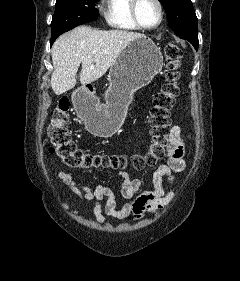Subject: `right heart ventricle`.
I'll return each mask as SVG.
<instances>
[{
    "label": "right heart ventricle",
    "mask_w": 240,
    "mask_h": 281,
    "mask_svg": "<svg viewBox=\"0 0 240 281\" xmlns=\"http://www.w3.org/2000/svg\"><path fill=\"white\" fill-rule=\"evenodd\" d=\"M131 0H105L104 17L107 24L120 31H137L130 12Z\"/></svg>",
    "instance_id": "right-heart-ventricle-1"
}]
</instances>
